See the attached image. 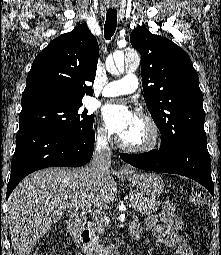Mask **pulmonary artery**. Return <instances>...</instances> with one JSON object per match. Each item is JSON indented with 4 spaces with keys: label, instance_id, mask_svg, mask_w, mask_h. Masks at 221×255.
I'll return each instance as SVG.
<instances>
[{
    "label": "pulmonary artery",
    "instance_id": "e3ab8cb5",
    "mask_svg": "<svg viewBox=\"0 0 221 255\" xmlns=\"http://www.w3.org/2000/svg\"><path fill=\"white\" fill-rule=\"evenodd\" d=\"M138 80L136 75L127 74L122 79L111 81L103 88V96L114 97L118 95L130 94L136 91Z\"/></svg>",
    "mask_w": 221,
    "mask_h": 255
}]
</instances>
